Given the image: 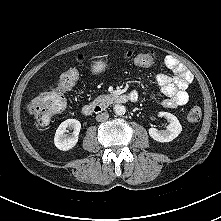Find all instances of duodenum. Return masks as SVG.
<instances>
[{"mask_svg":"<svg viewBox=\"0 0 221 221\" xmlns=\"http://www.w3.org/2000/svg\"><path fill=\"white\" fill-rule=\"evenodd\" d=\"M138 99V95L136 93L130 94V95H118L116 97L117 103H126V102H134ZM103 111L102 107L99 105H93V104H86L81 108V113L84 116H90L94 113H101Z\"/></svg>","mask_w":221,"mask_h":221,"instance_id":"410a0bca","label":"duodenum"}]
</instances>
